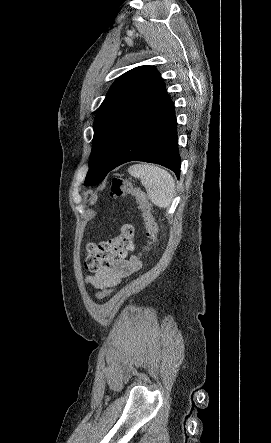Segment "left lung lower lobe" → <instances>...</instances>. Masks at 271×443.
<instances>
[{"mask_svg": "<svg viewBox=\"0 0 271 443\" xmlns=\"http://www.w3.org/2000/svg\"><path fill=\"white\" fill-rule=\"evenodd\" d=\"M133 160L160 164L180 176L174 104L161 77L126 128L110 171Z\"/></svg>", "mask_w": 271, "mask_h": 443, "instance_id": "1", "label": "left lung lower lobe"}]
</instances>
